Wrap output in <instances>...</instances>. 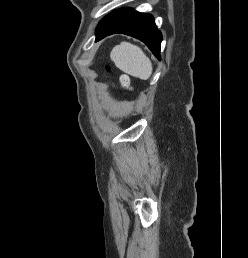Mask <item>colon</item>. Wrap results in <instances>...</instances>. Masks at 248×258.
<instances>
[{"instance_id":"1","label":"colon","mask_w":248,"mask_h":258,"mask_svg":"<svg viewBox=\"0 0 248 258\" xmlns=\"http://www.w3.org/2000/svg\"><path fill=\"white\" fill-rule=\"evenodd\" d=\"M120 84L123 88L130 89L131 87L130 78L127 75H122L120 77Z\"/></svg>"}]
</instances>
